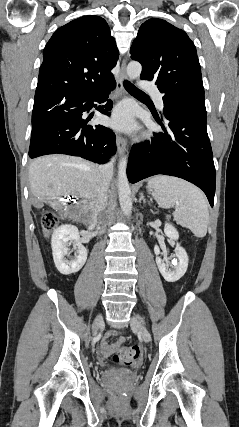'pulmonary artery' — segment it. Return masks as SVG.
Listing matches in <instances>:
<instances>
[{"instance_id": "1", "label": "pulmonary artery", "mask_w": 239, "mask_h": 427, "mask_svg": "<svg viewBox=\"0 0 239 427\" xmlns=\"http://www.w3.org/2000/svg\"><path fill=\"white\" fill-rule=\"evenodd\" d=\"M141 88L153 95L157 107L160 110H162L164 107L163 99H162L161 93L158 90L157 86L153 83H150V82H143L141 84Z\"/></svg>"}]
</instances>
